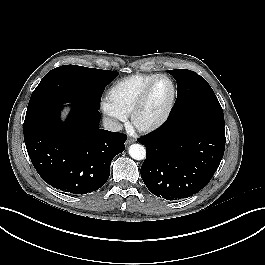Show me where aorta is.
I'll return each mask as SVG.
<instances>
[{"label":"aorta","instance_id":"1","mask_svg":"<svg viewBox=\"0 0 265 265\" xmlns=\"http://www.w3.org/2000/svg\"><path fill=\"white\" fill-rule=\"evenodd\" d=\"M129 155L135 160H143L146 157V149L140 144H132L129 147Z\"/></svg>","mask_w":265,"mask_h":265}]
</instances>
